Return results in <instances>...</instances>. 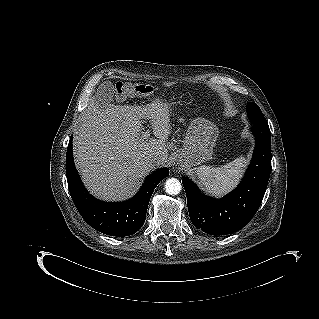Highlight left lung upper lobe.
<instances>
[{
    "label": "left lung upper lobe",
    "instance_id": "1",
    "mask_svg": "<svg viewBox=\"0 0 319 319\" xmlns=\"http://www.w3.org/2000/svg\"><path fill=\"white\" fill-rule=\"evenodd\" d=\"M247 114L254 125L268 126L263 113L256 103L249 102L247 104Z\"/></svg>",
    "mask_w": 319,
    "mask_h": 319
}]
</instances>
